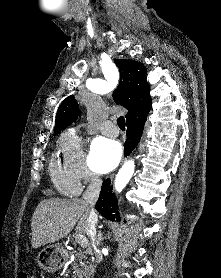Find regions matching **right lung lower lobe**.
<instances>
[{"label": "right lung lower lobe", "instance_id": "1", "mask_svg": "<svg viewBox=\"0 0 221 278\" xmlns=\"http://www.w3.org/2000/svg\"><path fill=\"white\" fill-rule=\"evenodd\" d=\"M146 118L135 119L127 122V140L124 145V155L128 156L131 151L138 144L143 132ZM95 208L102 216L111 221H120V215L118 212V202L115 195L112 193V187H110V180L107 179L103 182L99 199L95 205Z\"/></svg>", "mask_w": 221, "mask_h": 278}]
</instances>
